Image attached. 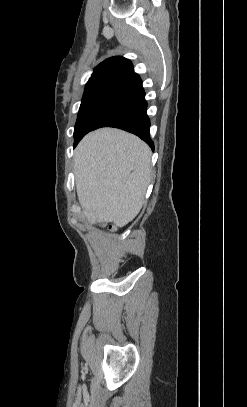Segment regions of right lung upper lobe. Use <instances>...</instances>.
I'll list each match as a JSON object with an SVG mask.
<instances>
[{
	"mask_svg": "<svg viewBox=\"0 0 247 407\" xmlns=\"http://www.w3.org/2000/svg\"><path fill=\"white\" fill-rule=\"evenodd\" d=\"M110 89L143 91L142 80L130 60L116 56L101 62L87 82L83 98Z\"/></svg>",
	"mask_w": 247,
	"mask_h": 407,
	"instance_id": "1",
	"label": "right lung upper lobe"
}]
</instances>
